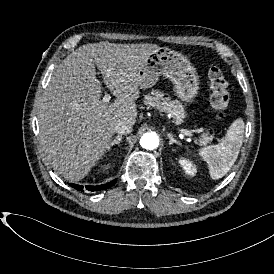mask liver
I'll return each mask as SVG.
<instances>
[{"mask_svg":"<svg viewBox=\"0 0 274 274\" xmlns=\"http://www.w3.org/2000/svg\"><path fill=\"white\" fill-rule=\"evenodd\" d=\"M159 48L148 43H89L71 51L52 73L38 105V124L46 159L66 180L87 177L111 150L117 123H136L138 72ZM96 67L117 98L114 102L103 101Z\"/></svg>","mask_w":274,"mask_h":274,"instance_id":"6515ba94","label":"liver"}]
</instances>
